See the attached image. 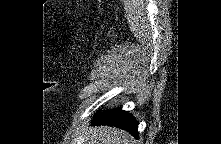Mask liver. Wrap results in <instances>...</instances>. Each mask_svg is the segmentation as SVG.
<instances>
[{
	"label": "liver",
	"instance_id": "6515ba94",
	"mask_svg": "<svg viewBox=\"0 0 221 144\" xmlns=\"http://www.w3.org/2000/svg\"><path fill=\"white\" fill-rule=\"evenodd\" d=\"M87 144H134L133 137L124 130L112 126L91 128L85 133Z\"/></svg>",
	"mask_w": 221,
	"mask_h": 144
}]
</instances>
